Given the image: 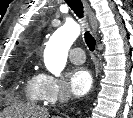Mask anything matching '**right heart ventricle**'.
<instances>
[{
	"label": "right heart ventricle",
	"mask_w": 133,
	"mask_h": 118,
	"mask_svg": "<svg viewBox=\"0 0 133 118\" xmlns=\"http://www.w3.org/2000/svg\"><path fill=\"white\" fill-rule=\"evenodd\" d=\"M24 91L30 102L38 103L42 100L39 89V75H28L26 77Z\"/></svg>",
	"instance_id": "obj_1"
}]
</instances>
